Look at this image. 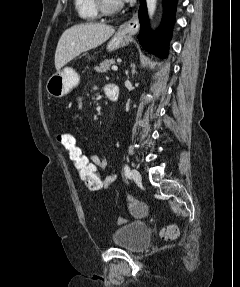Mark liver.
I'll return each mask as SVG.
<instances>
[{
  "mask_svg": "<svg viewBox=\"0 0 240 287\" xmlns=\"http://www.w3.org/2000/svg\"><path fill=\"white\" fill-rule=\"evenodd\" d=\"M115 32V29L104 23L87 22L66 29L61 35L55 51V68L61 69L81 53L93 49Z\"/></svg>",
  "mask_w": 240,
  "mask_h": 287,
  "instance_id": "liver-1",
  "label": "liver"
}]
</instances>
